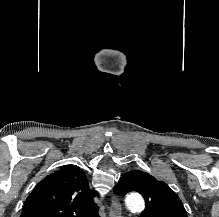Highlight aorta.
I'll return each instance as SVG.
<instances>
[{"label":"aorta","mask_w":219,"mask_h":217,"mask_svg":"<svg viewBox=\"0 0 219 217\" xmlns=\"http://www.w3.org/2000/svg\"><path fill=\"white\" fill-rule=\"evenodd\" d=\"M125 202L127 208L133 212H140L145 208L144 200L138 194L128 196Z\"/></svg>","instance_id":"762f6f07"}]
</instances>
